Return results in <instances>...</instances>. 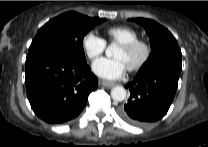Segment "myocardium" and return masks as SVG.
Segmentation results:
<instances>
[{
	"instance_id": "obj_1",
	"label": "myocardium",
	"mask_w": 208,
	"mask_h": 147,
	"mask_svg": "<svg viewBox=\"0 0 208 147\" xmlns=\"http://www.w3.org/2000/svg\"><path fill=\"white\" fill-rule=\"evenodd\" d=\"M119 46L125 50H130V51L137 49V48H141L143 50V54H142V57L140 58V60L136 64H134L128 68V70L131 72L138 71L142 67H144L146 65V63L149 61L151 54H152V48H151L150 43L148 41H146L144 39H140V38H137L132 41L121 43V44H119Z\"/></svg>"
}]
</instances>
